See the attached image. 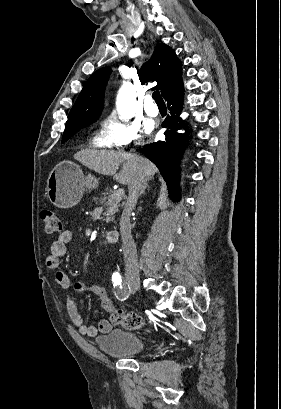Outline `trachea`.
<instances>
[{
  "label": "trachea",
  "instance_id": "3493384b",
  "mask_svg": "<svg viewBox=\"0 0 281 409\" xmlns=\"http://www.w3.org/2000/svg\"><path fill=\"white\" fill-rule=\"evenodd\" d=\"M152 97H153V99L155 100L156 103H163L164 102L161 95H160V92L158 90L153 92Z\"/></svg>",
  "mask_w": 281,
  "mask_h": 409
}]
</instances>
